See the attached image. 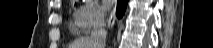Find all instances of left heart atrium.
I'll return each instance as SVG.
<instances>
[{"mask_svg":"<svg viewBox=\"0 0 213 48\" xmlns=\"http://www.w3.org/2000/svg\"><path fill=\"white\" fill-rule=\"evenodd\" d=\"M113 3L114 1L111 0H103L101 5L102 10L104 11L109 10L112 7Z\"/></svg>","mask_w":213,"mask_h":48,"instance_id":"obj_1","label":"left heart atrium"}]
</instances>
